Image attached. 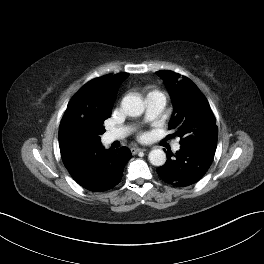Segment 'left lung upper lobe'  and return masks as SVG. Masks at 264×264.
Listing matches in <instances>:
<instances>
[{
	"label": "left lung upper lobe",
	"instance_id": "1",
	"mask_svg": "<svg viewBox=\"0 0 264 264\" xmlns=\"http://www.w3.org/2000/svg\"><path fill=\"white\" fill-rule=\"evenodd\" d=\"M156 74L164 80L172 98L174 111L169 129L180 137V145L216 150L218 128L205 96L187 77L167 70Z\"/></svg>",
	"mask_w": 264,
	"mask_h": 264
}]
</instances>
